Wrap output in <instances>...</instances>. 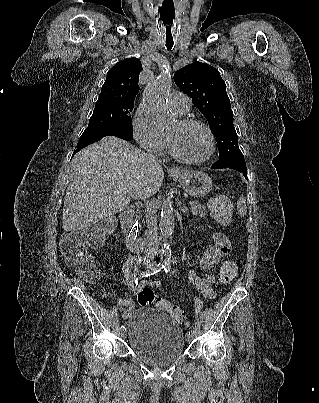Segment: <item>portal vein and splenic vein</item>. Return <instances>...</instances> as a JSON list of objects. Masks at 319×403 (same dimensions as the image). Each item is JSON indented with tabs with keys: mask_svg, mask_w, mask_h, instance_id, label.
Instances as JSON below:
<instances>
[{
	"mask_svg": "<svg viewBox=\"0 0 319 403\" xmlns=\"http://www.w3.org/2000/svg\"><path fill=\"white\" fill-rule=\"evenodd\" d=\"M196 203H197V202H195V201H192V202L190 201V202H189V204L192 205V206H194Z\"/></svg>",
	"mask_w": 319,
	"mask_h": 403,
	"instance_id": "portal-vein-and-splenic-vein-1",
	"label": "portal vein and splenic vein"
}]
</instances>
